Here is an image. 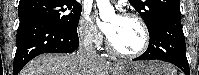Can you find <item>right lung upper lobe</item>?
<instances>
[{
  "label": "right lung upper lobe",
  "mask_w": 199,
  "mask_h": 75,
  "mask_svg": "<svg viewBox=\"0 0 199 75\" xmlns=\"http://www.w3.org/2000/svg\"><path fill=\"white\" fill-rule=\"evenodd\" d=\"M24 1H26V0H20V2H19V3L24 2Z\"/></svg>",
  "instance_id": "1"
}]
</instances>
